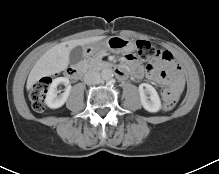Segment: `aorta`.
<instances>
[{
  "mask_svg": "<svg viewBox=\"0 0 219 174\" xmlns=\"http://www.w3.org/2000/svg\"><path fill=\"white\" fill-rule=\"evenodd\" d=\"M114 76L113 71L110 68H105L101 71V77L103 80H110Z\"/></svg>",
  "mask_w": 219,
  "mask_h": 174,
  "instance_id": "762f6f07",
  "label": "aorta"
}]
</instances>
